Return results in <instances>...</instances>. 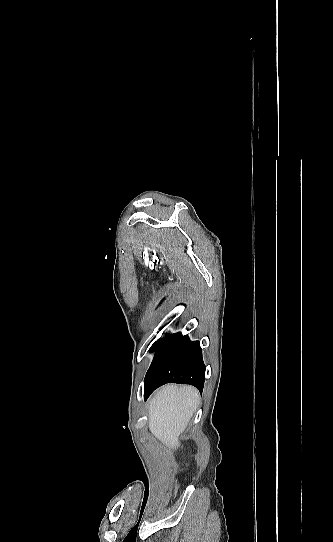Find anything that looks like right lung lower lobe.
<instances>
[{
  "instance_id": "obj_1",
  "label": "right lung lower lobe",
  "mask_w": 333,
  "mask_h": 542,
  "mask_svg": "<svg viewBox=\"0 0 333 542\" xmlns=\"http://www.w3.org/2000/svg\"><path fill=\"white\" fill-rule=\"evenodd\" d=\"M153 350L156 354L144 379L145 399L169 382L190 384L202 392L205 365L199 341H190L187 335L176 333L154 343Z\"/></svg>"
}]
</instances>
